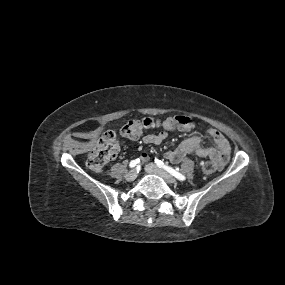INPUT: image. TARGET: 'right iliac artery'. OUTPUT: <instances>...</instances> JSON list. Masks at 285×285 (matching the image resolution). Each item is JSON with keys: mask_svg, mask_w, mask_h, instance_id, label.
Masks as SVG:
<instances>
[{"mask_svg": "<svg viewBox=\"0 0 285 285\" xmlns=\"http://www.w3.org/2000/svg\"><path fill=\"white\" fill-rule=\"evenodd\" d=\"M140 162V159L132 160L129 164L131 168L135 167Z\"/></svg>", "mask_w": 285, "mask_h": 285, "instance_id": "right-iliac-artery-1", "label": "right iliac artery"}]
</instances>
